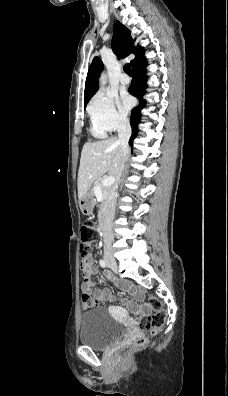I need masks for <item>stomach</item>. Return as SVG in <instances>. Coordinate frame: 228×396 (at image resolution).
<instances>
[{
	"instance_id": "0dacf381",
	"label": "stomach",
	"mask_w": 228,
	"mask_h": 396,
	"mask_svg": "<svg viewBox=\"0 0 228 396\" xmlns=\"http://www.w3.org/2000/svg\"><path fill=\"white\" fill-rule=\"evenodd\" d=\"M80 210L83 215H90L95 206L94 194L88 191L82 198L79 199Z\"/></svg>"
}]
</instances>
